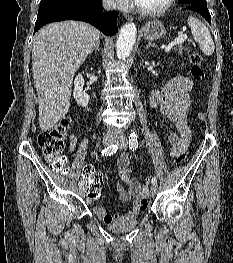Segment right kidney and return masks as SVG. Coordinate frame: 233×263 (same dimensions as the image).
I'll return each instance as SVG.
<instances>
[{
	"instance_id": "ca27d5eb",
	"label": "right kidney",
	"mask_w": 233,
	"mask_h": 263,
	"mask_svg": "<svg viewBox=\"0 0 233 263\" xmlns=\"http://www.w3.org/2000/svg\"><path fill=\"white\" fill-rule=\"evenodd\" d=\"M84 79L81 74H78L74 80V91L73 97L76 100L77 104L86 107L89 102V95L83 91Z\"/></svg>"
}]
</instances>
